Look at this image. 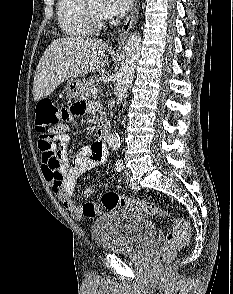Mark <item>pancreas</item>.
Segmentation results:
<instances>
[{
	"label": "pancreas",
	"mask_w": 233,
	"mask_h": 294,
	"mask_svg": "<svg viewBox=\"0 0 233 294\" xmlns=\"http://www.w3.org/2000/svg\"><path fill=\"white\" fill-rule=\"evenodd\" d=\"M81 93H82V98L87 99L91 95V85H90V80H86L82 84L81 88Z\"/></svg>",
	"instance_id": "pancreas-1"
}]
</instances>
